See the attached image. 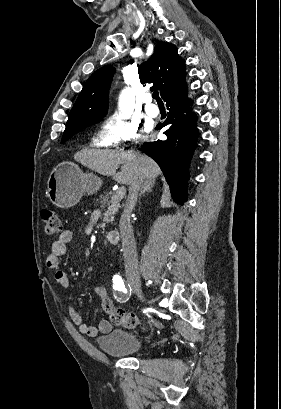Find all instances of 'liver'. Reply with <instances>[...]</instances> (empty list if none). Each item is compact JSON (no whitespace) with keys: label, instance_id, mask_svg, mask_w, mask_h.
Returning <instances> with one entry per match:
<instances>
[{"label":"liver","instance_id":"1","mask_svg":"<svg viewBox=\"0 0 281 409\" xmlns=\"http://www.w3.org/2000/svg\"><path fill=\"white\" fill-rule=\"evenodd\" d=\"M75 160L92 168L104 176H113L120 184H131L134 176L135 162H141L146 180H156L161 170L150 156L136 152V150H102V148H83L74 154ZM119 164L121 172H116Z\"/></svg>","mask_w":281,"mask_h":409}]
</instances>
